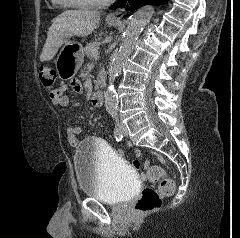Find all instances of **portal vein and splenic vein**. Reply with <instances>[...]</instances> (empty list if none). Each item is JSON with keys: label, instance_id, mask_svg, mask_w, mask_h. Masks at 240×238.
I'll return each mask as SVG.
<instances>
[{"label": "portal vein and splenic vein", "instance_id": "obj_1", "mask_svg": "<svg viewBox=\"0 0 240 238\" xmlns=\"http://www.w3.org/2000/svg\"><path fill=\"white\" fill-rule=\"evenodd\" d=\"M92 56H93V58H94L95 60H98V59H99V53H98V51H94V52L92 53Z\"/></svg>", "mask_w": 240, "mask_h": 238}]
</instances>
